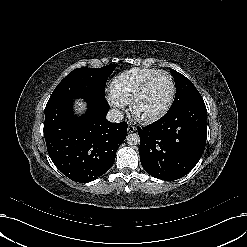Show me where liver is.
I'll list each match as a JSON object with an SVG mask.
<instances>
[{
	"instance_id": "obj_1",
	"label": "liver",
	"mask_w": 247,
	"mask_h": 247,
	"mask_svg": "<svg viewBox=\"0 0 247 247\" xmlns=\"http://www.w3.org/2000/svg\"><path fill=\"white\" fill-rule=\"evenodd\" d=\"M86 109V104L84 102L77 101L74 106L75 114H82Z\"/></svg>"
}]
</instances>
